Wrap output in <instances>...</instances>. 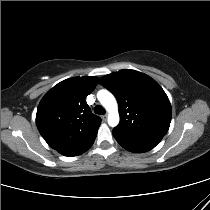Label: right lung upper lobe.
Returning a JSON list of instances; mask_svg holds the SVG:
<instances>
[{
  "label": "right lung upper lobe",
  "instance_id": "1",
  "mask_svg": "<svg viewBox=\"0 0 210 210\" xmlns=\"http://www.w3.org/2000/svg\"><path fill=\"white\" fill-rule=\"evenodd\" d=\"M97 77H73L49 90L39 103L37 128L48 145L64 156L88 150L101 124L85 98L94 90Z\"/></svg>",
  "mask_w": 210,
  "mask_h": 210
}]
</instances>
